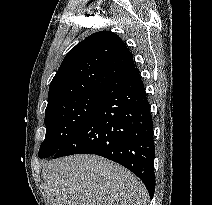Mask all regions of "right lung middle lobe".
I'll return each instance as SVG.
<instances>
[{
	"label": "right lung middle lobe",
	"instance_id": "dd1d6c3e",
	"mask_svg": "<svg viewBox=\"0 0 212 205\" xmlns=\"http://www.w3.org/2000/svg\"><path fill=\"white\" fill-rule=\"evenodd\" d=\"M101 97L102 92L85 94L46 111V137L40 146L39 157L47 158L56 154L87 120Z\"/></svg>",
	"mask_w": 212,
	"mask_h": 205
}]
</instances>
